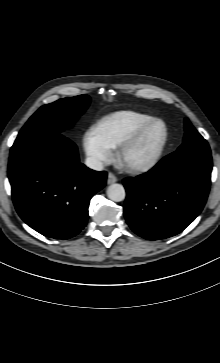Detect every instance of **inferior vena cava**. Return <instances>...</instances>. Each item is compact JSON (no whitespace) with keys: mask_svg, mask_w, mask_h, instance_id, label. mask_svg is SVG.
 <instances>
[{"mask_svg":"<svg viewBox=\"0 0 220 363\" xmlns=\"http://www.w3.org/2000/svg\"><path fill=\"white\" fill-rule=\"evenodd\" d=\"M85 164L90 169H93V170H96V171L103 170V163L97 158L88 157V158H86Z\"/></svg>","mask_w":220,"mask_h":363,"instance_id":"602c4592","label":"inferior vena cava"}]
</instances>
